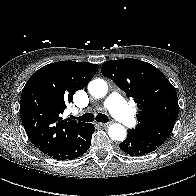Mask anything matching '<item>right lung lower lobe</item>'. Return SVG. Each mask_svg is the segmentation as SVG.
<instances>
[{
    "label": "right lung lower lobe",
    "mask_w": 196,
    "mask_h": 196,
    "mask_svg": "<svg viewBox=\"0 0 196 196\" xmlns=\"http://www.w3.org/2000/svg\"><path fill=\"white\" fill-rule=\"evenodd\" d=\"M94 131V125L86 123L72 134L65 144L48 152L47 155L57 160H70L82 156L90 148Z\"/></svg>",
    "instance_id": "98d812e1"
}]
</instances>
